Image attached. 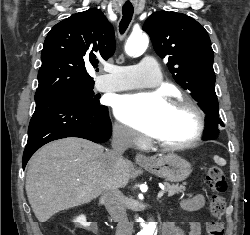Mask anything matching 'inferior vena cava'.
Returning <instances> with one entry per match:
<instances>
[{"instance_id": "1", "label": "inferior vena cava", "mask_w": 250, "mask_h": 235, "mask_svg": "<svg viewBox=\"0 0 250 235\" xmlns=\"http://www.w3.org/2000/svg\"><path fill=\"white\" fill-rule=\"evenodd\" d=\"M133 133L130 129L115 125L112 134V149L107 150L103 155V160L107 170L112 173L116 166L123 161V153L132 144ZM120 191L116 186L104 188L101 200L104 202L106 209L113 218L118 222L116 235H132L133 225L128 221L126 210L119 206Z\"/></svg>"}]
</instances>
